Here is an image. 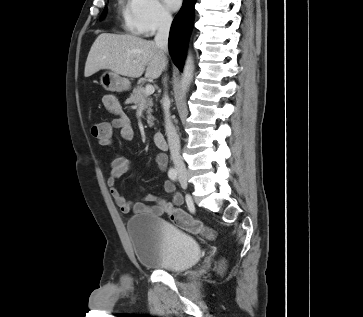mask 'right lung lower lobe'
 I'll return each mask as SVG.
<instances>
[{"mask_svg":"<svg viewBox=\"0 0 363 317\" xmlns=\"http://www.w3.org/2000/svg\"><path fill=\"white\" fill-rule=\"evenodd\" d=\"M195 0H184L174 18L169 35V51L176 67L181 71L194 19Z\"/></svg>","mask_w":363,"mask_h":317,"instance_id":"obj_1","label":"right lung lower lobe"}]
</instances>
